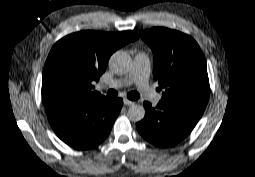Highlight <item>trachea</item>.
Listing matches in <instances>:
<instances>
[{
    "instance_id": "1",
    "label": "trachea",
    "mask_w": 255,
    "mask_h": 177,
    "mask_svg": "<svg viewBox=\"0 0 255 177\" xmlns=\"http://www.w3.org/2000/svg\"><path fill=\"white\" fill-rule=\"evenodd\" d=\"M107 94H108V96H111V97L117 96V92L114 90H111V89L108 90ZM128 97L131 99H137V98H139V94L136 92H131L128 94Z\"/></svg>"
}]
</instances>
